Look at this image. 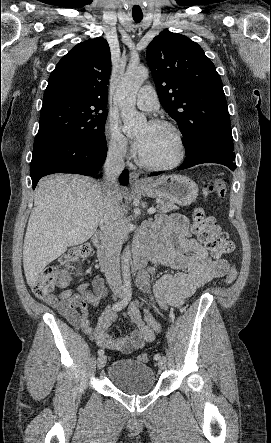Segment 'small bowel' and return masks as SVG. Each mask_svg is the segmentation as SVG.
Returning <instances> with one entry per match:
<instances>
[{
	"label": "small bowel",
	"mask_w": 271,
	"mask_h": 443,
	"mask_svg": "<svg viewBox=\"0 0 271 443\" xmlns=\"http://www.w3.org/2000/svg\"><path fill=\"white\" fill-rule=\"evenodd\" d=\"M154 264H163L175 270L163 275L154 285L152 298L162 308L180 307L193 293L208 282L223 277L228 262L208 253L192 237L187 219L182 215H173L162 226L159 244L152 253ZM93 292L89 283L83 282L75 290L66 289L59 298L50 295L44 302L55 308L70 324L89 336L100 348L130 354L145 343L152 342L160 324L147 309H141L139 303H132L125 316L131 329L122 337H113L111 326L118 320V314L107 309L94 327L90 326L88 305L95 306L106 295L107 287L101 277L92 280ZM143 290H147V281L140 279Z\"/></svg>",
	"instance_id": "c3829d8e"
}]
</instances>
